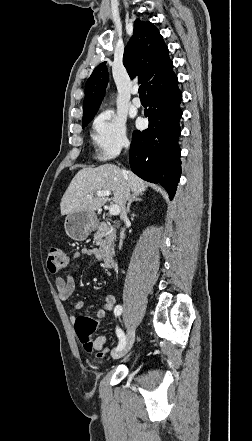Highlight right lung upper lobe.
Masks as SVG:
<instances>
[{"instance_id": "right-lung-upper-lobe-1", "label": "right lung upper lobe", "mask_w": 252, "mask_h": 441, "mask_svg": "<svg viewBox=\"0 0 252 441\" xmlns=\"http://www.w3.org/2000/svg\"><path fill=\"white\" fill-rule=\"evenodd\" d=\"M171 62L168 48L158 29L151 22L137 19L123 55V64L130 77L139 76L148 90L160 80ZM105 63L99 64L86 82L83 122L93 119L104 96L109 79Z\"/></svg>"}]
</instances>
